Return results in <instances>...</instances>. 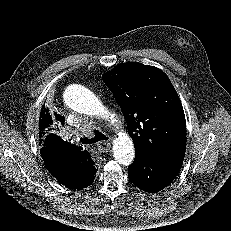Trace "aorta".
Returning a JSON list of instances; mask_svg holds the SVG:
<instances>
[{
	"instance_id": "762f6f07",
	"label": "aorta",
	"mask_w": 231,
	"mask_h": 231,
	"mask_svg": "<svg viewBox=\"0 0 231 231\" xmlns=\"http://www.w3.org/2000/svg\"><path fill=\"white\" fill-rule=\"evenodd\" d=\"M64 103L72 110L100 118L110 119L117 122L103 103L89 89L79 84L68 86L63 93ZM113 156L122 165L128 166L135 157L134 144L131 137L126 133H119L113 141Z\"/></svg>"
}]
</instances>
